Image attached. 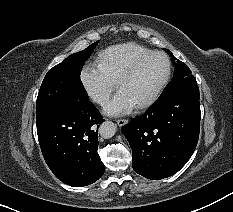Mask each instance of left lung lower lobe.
Listing matches in <instances>:
<instances>
[{
    "label": "left lung lower lobe",
    "instance_id": "left-lung-lower-lobe-1",
    "mask_svg": "<svg viewBox=\"0 0 233 212\" xmlns=\"http://www.w3.org/2000/svg\"><path fill=\"white\" fill-rule=\"evenodd\" d=\"M197 85L180 86L122 127L132 149L135 172L148 179L174 175L194 152L200 130Z\"/></svg>",
    "mask_w": 233,
    "mask_h": 212
}]
</instances>
